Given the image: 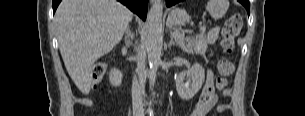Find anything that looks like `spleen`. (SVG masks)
Listing matches in <instances>:
<instances>
[{
  "label": "spleen",
  "mask_w": 305,
  "mask_h": 116,
  "mask_svg": "<svg viewBox=\"0 0 305 116\" xmlns=\"http://www.w3.org/2000/svg\"><path fill=\"white\" fill-rule=\"evenodd\" d=\"M228 9V4L224 0H210L207 4V10L215 20L222 18Z\"/></svg>",
  "instance_id": "spleen-1"
}]
</instances>
